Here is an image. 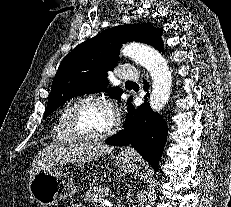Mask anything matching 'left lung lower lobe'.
<instances>
[{"label": "left lung lower lobe", "mask_w": 231, "mask_h": 207, "mask_svg": "<svg viewBox=\"0 0 231 207\" xmlns=\"http://www.w3.org/2000/svg\"><path fill=\"white\" fill-rule=\"evenodd\" d=\"M144 89L149 84L144 81ZM148 96V95H147ZM147 96L145 99H147ZM167 140V125L164 119L152 112L149 103L145 102L138 108L128 104L125 127L105 142L110 145L122 146L132 144L143 158L156 170Z\"/></svg>", "instance_id": "1"}]
</instances>
